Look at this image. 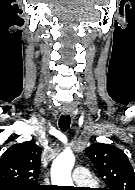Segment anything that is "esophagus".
Instances as JSON below:
<instances>
[{
    "label": "esophagus",
    "mask_w": 135,
    "mask_h": 190,
    "mask_svg": "<svg viewBox=\"0 0 135 190\" xmlns=\"http://www.w3.org/2000/svg\"><path fill=\"white\" fill-rule=\"evenodd\" d=\"M62 113H63L64 115L70 114V113H71V108L68 107V106H64V107L62 108Z\"/></svg>",
    "instance_id": "1"
}]
</instances>
